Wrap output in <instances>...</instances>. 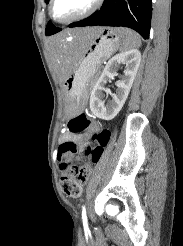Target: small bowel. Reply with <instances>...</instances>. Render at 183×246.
Instances as JSON below:
<instances>
[{
    "instance_id": "c3829d8e",
    "label": "small bowel",
    "mask_w": 183,
    "mask_h": 246,
    "mask_svg": "<svg viewBox=\"0 0 183 246\" xmlns=\"http://www.w3.org/2000/svg\"><path fill=\"white\" fill-rule=\"evenodd\" d=\"M59 141L61 144L64 142H67V141H71V142L79 145L80 149H82L83 147H85L86 145L89 144V139H88L87 135H85V134H74L70 130L68 132L63 133L60 136Z\"/></svg>"
}]
</instances>
